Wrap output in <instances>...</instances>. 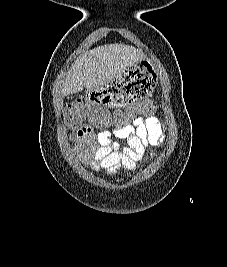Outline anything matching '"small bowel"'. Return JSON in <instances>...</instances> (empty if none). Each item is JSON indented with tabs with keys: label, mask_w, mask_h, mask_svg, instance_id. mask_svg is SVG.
Wrapping results in <instances>:
<instances>
[{
	"label": "small bowel",
	"mask_w": 227,
	"mask_h": 267,
	"mask_svg": "<svg viewBox=\"0 0 227 267\" xmlns=\"http://www.w3.org/2000/svg\"><path fill=\"white\" fill-rule=\"evenodd\" d=\"M166 126L155 115L138 116L131 125L112 126L93 133L89 125L75 131L76 156L97 173L116 174L119 168L133 170L147 154L149 146H159L165 140ZM115 139L124 142L121 146ZM154 159V153H148Z\"/></svg>",
	"instance_id": "1"
}]
</instances>
